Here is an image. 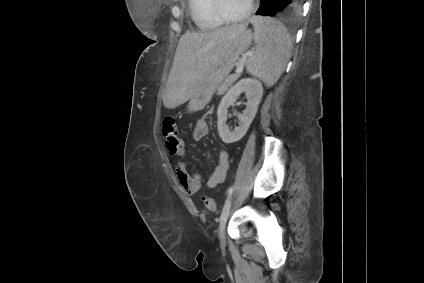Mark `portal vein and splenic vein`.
<instances>
[{
    "instance_id": "obj_1",
    "label": "portal vein and splenic vein",
    "mask_w": 424,
    "mask_h": 283,
    "mask_svg": "<svg viewBox=\"0 0 424 283\" xmlns=\"http://www.w3.org/2000/svg\"><path fill=\"white\" fill-rule=\"evenodd\" d=\"M253 55V53L252 52H247L246 54H244L243 55V61H245L246 59H247V57H249V56H252ZM242 64L241 63H238L237 64V67H236V69H235V73L236 74H239V73H241L242 72Z\"/></svg>"
}]
</instances>
